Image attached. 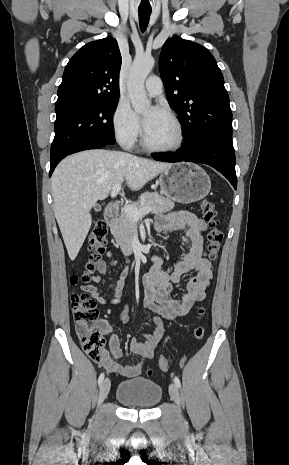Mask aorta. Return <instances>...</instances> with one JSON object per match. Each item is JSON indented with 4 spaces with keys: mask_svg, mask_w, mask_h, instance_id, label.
Masks as SVG:
<instances>
[{
    "mask_svg": "<svg viewBox=\"0 0 289 465\" xmlns=\"http://www.w3.org/2000/svg\"><path fill=\"white\" fill-rule=\"evenodd\" d=\"M154 64L155 60L151 56L136 57L128 75V96L132 107L138 113H142L150 107V100L146 96L144 83Z\"/></svg>",
    "mask_w": 289,
    "mask_h": 465,
    "instance_id": "aorta-1",
    "label": "aorta"
}]
</instances>
